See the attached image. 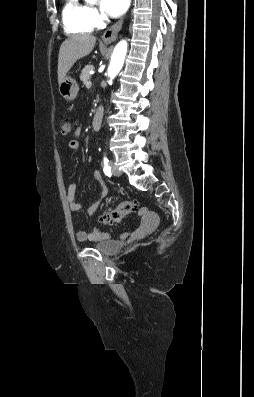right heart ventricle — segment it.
Masks as SVG:
<instances>
[{"label":"right heart ventricle","mask_w":254,"mask_h":397,"mask_svg":"<svg viewBox=\"0 0 254 397\" xmlns=\"http://www.w3.org/2000/svg\"><path fill=\"white\" fill-rule=\"evenodd\" d=\"M89 6L81 0H64L62 22L69 35L87 34L94 29L89 16Z\"/></svg>","instance_id":"right-heart-ventricle-1"}]
</instances>
